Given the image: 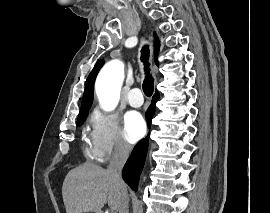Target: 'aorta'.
Here are the masks:
<instances>
[{
  "mask_svg": "<svg viewBox=\"0 0 270 213\" xmlns=\"http://www.w3.org/2000/svg\"><path fill=\"white\" fill-rule=\"evenodd\" d=\"M124 77V64L118 59L105 64L98 74L95 90L104 111L109 112L117 107Z\"/></svg>",
  "mask_w": 270,
  "mask_h": 213,
  "instance_id": "762f6f07",
  "label": "aorta"
}]
</instances>
